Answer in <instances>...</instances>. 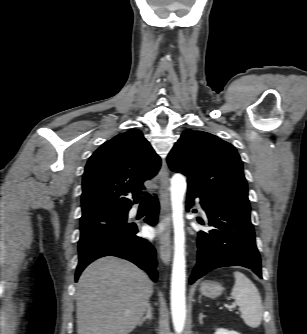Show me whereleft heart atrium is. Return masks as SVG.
Here are the masks:
<instances>
[{"instance_id": "left-heart-atrium-1", "label": "left heart atrium", "mask_w": 307, "mask_h": 334, "mask_svg": "<svg viewBox=\"0 0 307 334\" xmlns=\"http://www.w3.org/2000/svg\"><path fill=\"white\" fill-rule=\"evenodd\" d=\"M145 232L146 235L151 239H161L165 236L166 227L162 224L156 226H147Z\"/></svg>"}]
</instances>
